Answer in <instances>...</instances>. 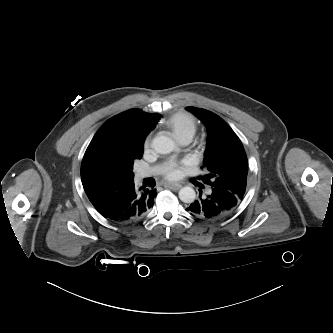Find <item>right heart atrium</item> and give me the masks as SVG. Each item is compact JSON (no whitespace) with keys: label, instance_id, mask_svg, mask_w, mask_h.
<instances>
[{"label":"right heart atrium","instance_id":"right-heart-atrium-1","mask_svg":"<svg viewBox=\"0 0 333 333\" xmlns=\"http://www.w3.org/2000/svg\"><path fill=\"white\" fill-rule=\"evenodd\" d=\"M151 145V139L147 138L144 142V148L147 150Z\"/></svg>","mask_w":333,"mask_h":333}]
</instances>
